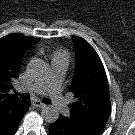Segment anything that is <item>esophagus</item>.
Instances as JSON below:
<instances>
[{
	"label": "esophagus",
	"instance_id": "34e87169",
	"mask_svg": "<svg viewBox=\"0 0 135 135\" xmlns=\"http://www.w3.org/2000/svg\"><path fill=\"white\" fill-rule=\"evenodd\" d=\"M32 105L35 106V107H39V108H44L45 107V104L42 103L40 100H34L32 102Z\"/></svg>",
	"mask_w": 135,
	"mask_h": 135
}]
</instances>
